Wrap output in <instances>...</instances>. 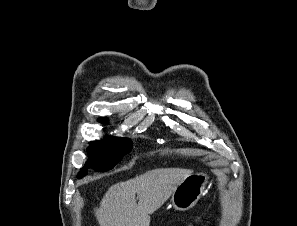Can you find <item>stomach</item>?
I'll list each match as a JSON object with an SVG mask.
<instances>
[{
	"mask_svg": "<svg viewBox=\"0 0 297 226\" xmlns=\"http://www.w3.org/2000/svg\"><path fill=\"white\" fill-rule=\"evenodd\" d=\"M208 183L206 173H195L186 177L171 196V207L178 211L192 208L201 198Z\"/></svg>",
	"mask_w": 297,
	"mask_h": 226,
	"instance_id": "0dacf381",
	"label": "stomach"
}]
</instances>
